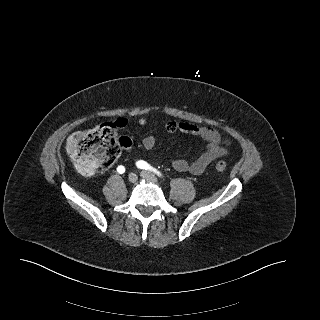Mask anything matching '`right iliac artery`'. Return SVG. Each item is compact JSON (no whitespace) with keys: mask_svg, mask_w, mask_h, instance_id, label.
<instances>
[{"mask_svg":"<svg viewBox=\"0 0 320 320\" xmlns=\"http://www.w3.org/2000/svg\"><path fill=\"white\" fill-rule=\"evenodd\" d=\"M117 171H118V173L123 174L125 172V168L120 165L117 167Z\"/></svg>","mask_w":320,"mask_h":320,"instance_id":"obj_1","label":"right iliac artery"}]
</instances>
